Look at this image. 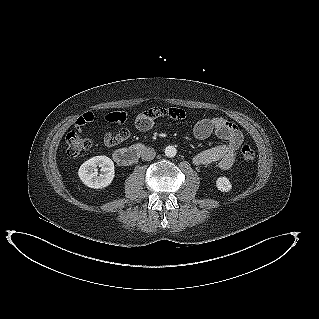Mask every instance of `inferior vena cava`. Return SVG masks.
Segmentation results:
<instances>
[{"instance_id": "inferior-vena-cava-1", "label": "inferior vena cava", "mask_w": 319, "mask_h": 319, "mask_svg": "<svg viewBox=\"0 0 319 319\" xmlns=\"http://www.w3.org/2000/svg\"><path fill=\"white\" fill-rule=\"evenodd\" d=\"M156 156V152L151 147H146L142 150L141 157L145 161H151Z\"/></svg>"}]
</instances>
